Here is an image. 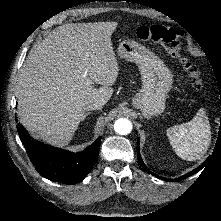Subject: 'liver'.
Segmentation results:
<instances>
[{"mask_svg":"<svg viewBox=\"0 0 221 221\" xmlns=\"http://www.w3.org/2000/svg\"><path fill=\"white\" fill-rule=\"evenodd\" d=\"M117 26L68 23L32 48L20 70L16 97L19 120L36 138L66 145L84 116V104L109 101L119 75L111 41Z\"/></svg>","mask_w":221,"mask_h":221,"instance_id":"obj_1","label":"liver"}]
</instances>
